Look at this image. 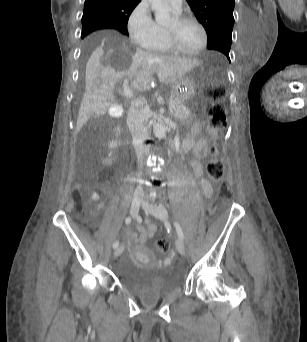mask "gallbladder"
<instances>
[{
    "mask_svg": "<svg viewBox=\"0 0 307 342\" xmlns=\"http://www.w3.org/2000/svg\"><path fill=\"white\" fill-rule=\"evenodd\" d=\"M122 104L121 103H115L113 105V110L110 112L111 118H118L121 115L122 112Z\"/></svg>",
    "mask_w": 307,
    "mask_h": 342,
    "instance_id": "bac80fb5",
    "label": "gallbladder"
}]
</instances>
